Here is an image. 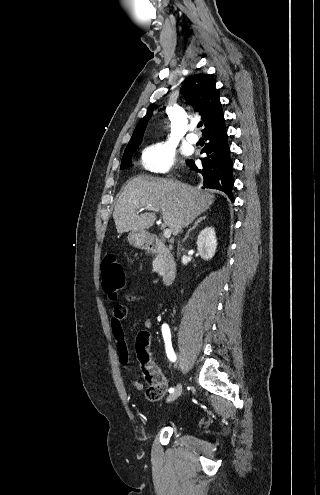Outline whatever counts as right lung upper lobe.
Listing matches in <instances>:
<instances>
[{
	"label": "right lung upper lobe",
	"instance_id": "obj_1",
	"mask_svg": "<svg viewBox=\"0 0 320 495\" xmlns=\"http://www.w3.org/2000/svg\"><path fill=\"white\" fill-rule=\"evenodd\" d=\"M181 93L194 108L195 111L202 115L204 132L206 129L219 124L224 120L222 104L220 103V94L215 87V79L206 74H196L188 79L181 88ZM151 109L137 124L133 135L125 150L139 146L146 125L152 116Z\"/></svg>",
	"mask_w": 320,
	"mask_h": 495
}]
</instances>
